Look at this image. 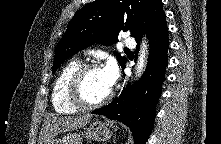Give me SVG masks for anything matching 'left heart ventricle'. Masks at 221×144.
I'll return each instance as SVG.
<instances>
[{
    "instance_id": "1",
    "label": "left heart ventricle",
    "mask_w": 221,
    "mask_h": 144,
    "mask_svg": "<svg viewBox=\"0 0 221 144\" xmlns=\"http://www.w3.org/2000/svg\"><path fill=\"white\" fill-rule=\"evenodd\" d=\"M109 90L101 69L89 71L82 81V94L89 102L99 101Z\"/></svg>"
}]
</instances>
